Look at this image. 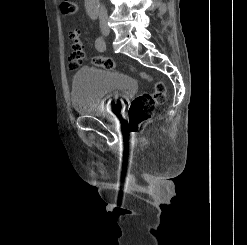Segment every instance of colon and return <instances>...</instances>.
Wrapping results in <instances>:
<instances>
[{
  "instance_id": "1",
  "label": "colon",
  "mask_w": 247,
  "mask_h": 245,
  "mask_svg": "<svg viewBox=\"0 0 247 245\" xmlns=\"http://www.w3.org/2000/svg\"><path fill=\"white\" fill-rule=\"evenodd\" d=\"M77 10L75 2L72 0H63L61 3V11L65 14H74ZM71 37L74 40L73 53L69 58V67L76 69L83 63L85 52L77 31L71 32ZM92 63L100 68L115 69L117 64L114 60L106 57H93ZM143 79L153 81V78L145 73L140 72ZM166 98V87L161 81L154 82L153 93H143L136 96L129 108V122L133 129H138L143 123L150 120L153 116L155 106L161 104Z\"/></svg>"
}]
</instances>
